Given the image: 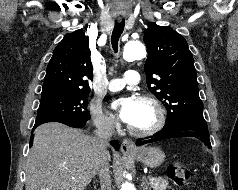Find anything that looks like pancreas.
<instances>
[{
  "instance_id": "cf45deb5",
  "label": "pancreas",
  "mask_w": 238,
  "mask_h": 190,
  "mask_svg": "<svg viewBox=\"0 0 238 190\" xmlns=\"http://www.w3.org/2000/svg\"><path fill=\"white\" fill-rule=\"evenodd\" d=\"M150 185L153 188V190H167L168 186V181L158 177L154 178L153 181H150Z\"/></svg>"
}]
</instances>
